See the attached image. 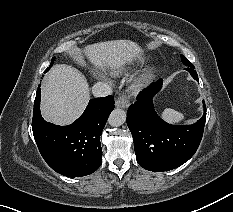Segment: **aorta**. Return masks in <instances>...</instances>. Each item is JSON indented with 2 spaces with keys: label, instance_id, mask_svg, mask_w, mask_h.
Instances as JSON below:
<instances>
[{
  "label": "aorta",
  "instance_id": "obj_1",
  "mask_svg": "<svg viewBox=\"0 0 233 212\" xmlns=\"http://www.w3.org/2000/svg\"><path fill=\"white\" fill-rule=\"evenodd\" d=\"M126 121V112L122 109H115L111 112L108 123L113 127H119Z\"/></svg>",
  "mask_w": 233,
  "mask_h": 212
}]
</instances>
